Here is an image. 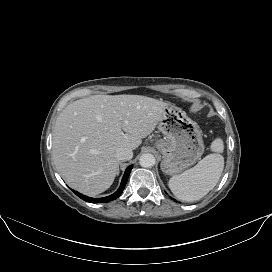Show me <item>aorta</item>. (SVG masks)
Segmentation results:
<instances>
[{
  "instance_id": "aorta-1",
  "label": "aorta",
  "mask_w": 272,
  "mask_h": 272,
  "mask_svg": "<svg viewBox=\"0 0 272 272\" xmlns=\"http://www.w3.org/2000/svg\"><path fill=\"white\" fill-rule=\"evenodd\" d=\"M156 159L154 155L145 153L140 156L139 163L142 167L149 168L155 165Z\"/></svg>"
}]
</instances>
